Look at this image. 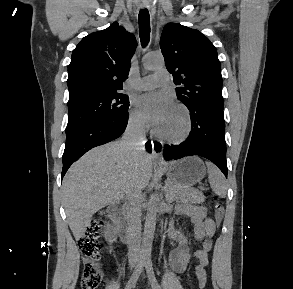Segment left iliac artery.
I'll return each mask as SVG.
<instances>
[{
  "mask_svg": "<svg viewBox=\"0 0 293 289\" xmlns=\"http://www.w3.org/2000/svg\"><path fill=\"white\" fill-rule=\"evenodd\" d=\"M145 267H146L147 276H148V279H149V282H150L152 288L153 289H161L160 285L155 277L153 266H152V261L150 258H147L145 260Z\"/></svg>",
  "mask_w": 293,
  "mask_h": 289,
  "instance_id": "obj_1",
  "label": "left iliac artery"
}]
</instances>
